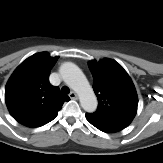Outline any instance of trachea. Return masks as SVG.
Here are the masks:
<instances>
[{
    "mask_svg": "<svg viewBox=\"0 0 163 163\" xmlns=\"http://www.w3.org/2000/svg\"><path fill=\"white\" fill-rule=\"evenodd\" d=\"M61 92H62V93H65V94H69L70 89H69L67 86H63V87L61 88Z\"/></svg>",
    "mask_w": 163,
    "mask_h": 163,
    "instance_id": "1",
    "label": "trachea"
}]
</instances>
